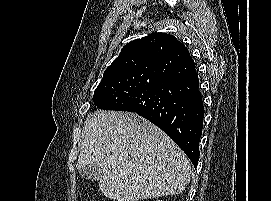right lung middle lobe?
<instances>
[{"label": "right lung middle lobe", "instance_id": "dd1d6c3e", "mask_svg": "<svg viewBox=\"0 0 271 201\" xmlns=\"http://www.w3.org/2000/svg\"><path fill=\"white\" fill-rule=\"evenodd\" d=\"M152 80L150 69H138L103 77L93 96L94 104L104 110L121 109V101L143 93Z\"/></svg>", "mask_w": 271, "mask_h": 201}]
</instances>
